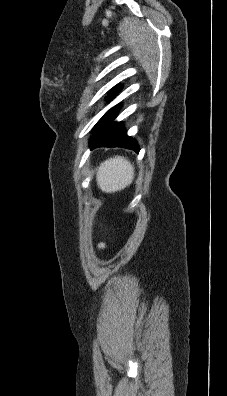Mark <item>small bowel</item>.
Wrapping results in <instances>:
<instances>
[{
	"label": "small bowel",
	"instance_id": "small-bowel-1",
	"mask_svg": "<svg viewBox=\"0 0 227 396\" xmlns=\"http://www.w3.org/2000/svg\"><path fill=\"white\" fill-rule=\"evenodd\" d=\"M99 247H100V249H103V248H105V245L104 244H100Z\"/></svg>",
	"mask_w": 227,
	"mask_h": 396
}]
</instances>
